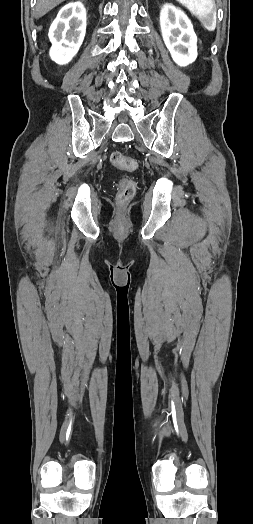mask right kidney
Segmentation results:
<instances>
[{"mask_svg": "<svg viewBox=\"0 0 253 524\" xmlns=\"http://www.w3.org/2000/svg\"><path fill=\"white\" fill-rule=\"evenodd\" d=\"M86 33V10L81 2L69 3L58 13L49 29L50 57L63 65L77 54Z\"/></svg>", "mask_w": 253, "mask_h": 524, "instance_id": "right-kidney-1", "label": "right kidney"}]
</instances>
